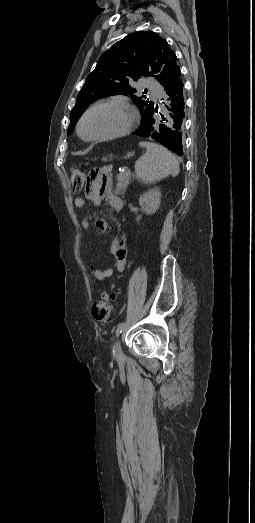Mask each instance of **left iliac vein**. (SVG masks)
Wrapping results in <instances>:
<instances>
[{"label":"left iliac vein","instance_id":"4c4485c4","mask_svg":"<svg viewBox=\"0 0 255 523\" xmlns=\"http://www.w3.org/2000/svg\"><path fill=\"white\" fill-rule=\"evenodd\" d=\"M114 355H115L116 359H118V360H121L124 356L119 340L115 344Z\"/></svg>","mask_w":255,"mask_h":523}]
</instances>
